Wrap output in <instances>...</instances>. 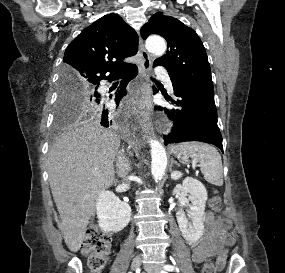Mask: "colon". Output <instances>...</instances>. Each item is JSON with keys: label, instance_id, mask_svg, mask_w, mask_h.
Returning a JSON list of instances; mask_svg holds the SVG:
<instances>
[{"label": "colon", "instance_id": "5ec220e1", "mask_svg": "<svg viewBox=\"0 0 285 273\" xmlns=\"http://www.w3.org/2000/svg\"><path fill=\"white\" fill-rule=\"evenodd\" d=\"M210 206L214 212H221L222 201L215 192L210 199ZM82 253L88 258L92 272L102 271L108 263L111 251V238L95 228H91L82 243ZM202 273H216V266L212 260H208L202 267Z\"/></svg>", "mask_w": 285, "mask_h": 273}]
</instances>
